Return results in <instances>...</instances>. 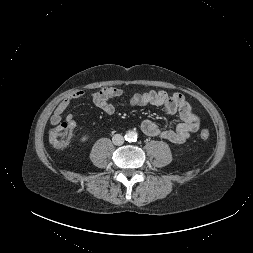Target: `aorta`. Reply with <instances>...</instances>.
I'll use <instances>...</instances> for the list:
<instances>
[{
	"label": "aorta",
	"instance_id": "obj_1",
	"mask_svg": "<svg viewBox=\"0 0 253 253\" xmlns=\"http://www.w3.org/2000/svg\"><path fill=\"white\" fill-rule=\"evenodd\" d=\"M136 138H137V135H136V133L133 132V131H129V132L126 134V139H127L128 141H133V140H135Z\"/></svg>",
	"mask_w": 253,
	"mask_h": 253
}]
</instances>
